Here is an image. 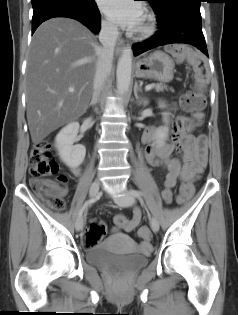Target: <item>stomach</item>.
Segmentation results:
<instances>
[{
    "instance_id": "1",
    "label": "stomach",
    "mask_w": 238,
    "mask_h": 315,
    "mask_svg": "<svg viewBox=\"0 0 238 315\" xmlns=\"http://www.w3.org/2000/svg\"><path fill=\"white\" fill-rule=\"evenodd\" d=\"M174 61L166 53L155 51L136 62L138 78L155 79L162 83L169 82L174 76Z\"/></svg>"
}]
</instances>
